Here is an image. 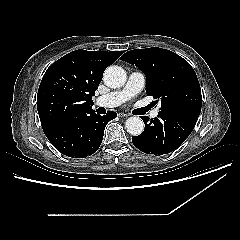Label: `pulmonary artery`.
Masks as SVG:
<instances>
[{
	"label": "pulmonary artery",
	"instance_id": "pulmonary-artery-1",
	"mask_svg": "<svg viewBox=\"0 0 240 240\" xmlns=\"http://www.w3.org/2000/svg\"><path fill=\"white\" fill-rule=\"evenodd\" d=\"M144 85L145 75L139 71H133L130 73L122 89L100 96L96 100V104L103 107L119 106L137 96L143 90ZM150 116L156 118L158 116V109H154L150 113Z\"/></svg>",
	"mask_w": 240,
	"mask_h": 240
}]
</instances>
